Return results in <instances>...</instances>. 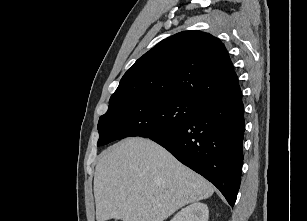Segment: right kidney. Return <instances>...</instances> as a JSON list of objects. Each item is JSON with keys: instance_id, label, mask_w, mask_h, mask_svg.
<instances>
[{"instance_id": "ca27d5eb", "label": "right kidney", "mask_w": 307, "mask_h": 221, "mask_svg": "<svg viewBox=\"0 0 307 221\" xmlns=\"http://www.w3.org/2000/svg\"><path fill=\"white\" fill-rule=\"evenodd\" d=\"M209 210L206 204L194 202L179 211L170 221H208Z\"/></svg>"}]
</instances>
